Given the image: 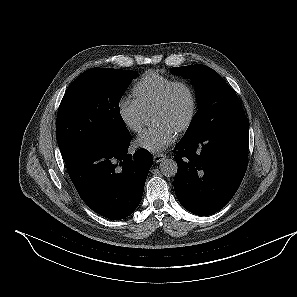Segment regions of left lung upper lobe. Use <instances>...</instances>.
Returning a JSON list of instances; mask_svg holds the SVG:
<instances>
[{"label":"left lung upper lobe","mask_w":297,"mask_h":297,"mask_svg":"<svg viewBox=\"0 0 297 297\" xmlns=\"http://www.w3.org/2000/svg\"><path fill=\"white\" fill-rule=\"evenodd\" d=\"M172 74L190 78L195 87L198 111L183 139L245 115L235 91L208 66L173 67Z\"/></svg>","instance_id":"obj_1"}]
</instances>
